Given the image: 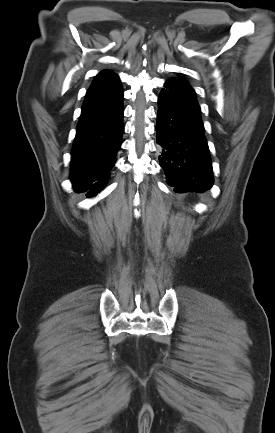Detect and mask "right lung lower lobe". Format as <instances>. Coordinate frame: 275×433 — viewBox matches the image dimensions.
<instances>
[{
    "label": "right lung lower lobe",
    "instance_id": "1",
    "mask_svg": "<svg viewBox=\"0 0 275 433\" xmlns=\"http://www.w3.org/2000/svg\"><path fill=\"white\" fill-rule=\"evenodd\" d=\"M120 81L90 88L85 96L71 151V181L76 192L92 197L106 184L115 164L124 127Z\"/></svg>",
    "mask_w": 275,
    "mask_h": 433
}]
</instances>
